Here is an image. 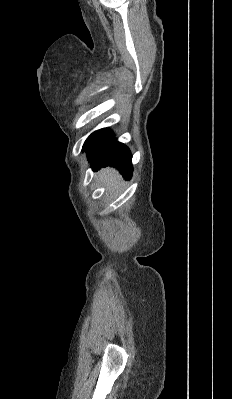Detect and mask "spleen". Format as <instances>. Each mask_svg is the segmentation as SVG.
<instances>
[{
    "label": "spleen",
    "mask_w": 232,
    "mask_h": 399,
    "mask_svg": "<svg viewBox=\"0 0 232 399\" xmlns=\"http://www.w3.org/2000/svg\"><path fill=\"white\" fill-rule=\"evenodd\" d=\"M95 178L97 182H99L100 186H105L107 194H112L114 198L115 196H118L119 192L122 190V178L116 170L105 168V170L98 172Z\"/></svg>",
    "instance_id": "obj_1"
}]
</instances>
